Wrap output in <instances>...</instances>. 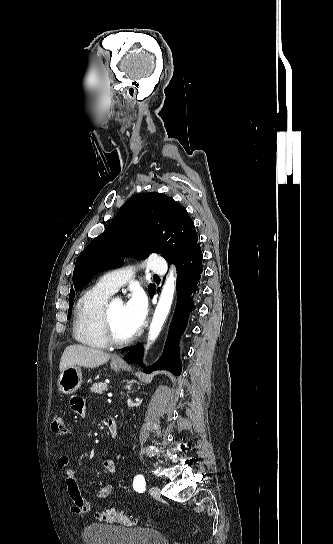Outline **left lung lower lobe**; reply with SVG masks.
Returning <instances> with one entry per match:
<instances>
[{
	"label": "left lung lower lobe",
	"instance_id": "left-lung-lower-lobe-1",
	"mask_svg": "<svg viewBox=\"0 0 333 544\" xmlns=\"http://www.w3.org/2000/svg\"><path fill=\"white\" fill-rule=\"evenodd\" d=\"M202 252L200 246L180 263L177 269V304L175 313L170 324L168 337L165 343L162 356L148 370H168L174 375H180L182 364L179 360L178 343L184 332L188 317L195 310V303L199 299L202 281ZM159 289H157V292ZM155 291L150 295L153 297ZM143 346L138 344L124 356L129 363H138L141 366Z\"/></svg>",
	"mask_w": 333,
	"mask_h": 544
}]
</instances>
